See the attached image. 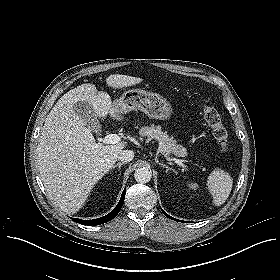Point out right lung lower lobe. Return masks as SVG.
I'll return each instance as SVG.
<instances>
[{"label": "right lung lower lobe", "mask_w": 280, "mask_h": 280, "mask_svg": "<svg viewBox=\"0 0 280 280\" xmlns=\"http://www.w3.org/2000/svg\"><path fill=\"white\" fill-rule=\"evenodd\" d=\"M125 192H126V189L123 191L118 205L109 214H107L101 218L92 219V220H82V219H76V218H72V220L77 223L84 224V225H100V224H103V223H106V222L112 220L114 217L117 216L120 209L122 208V205L124 203V198H125Z\"/></svg>", "instance_id": "right-lung-lower-lobe-1"}]
</instances>
